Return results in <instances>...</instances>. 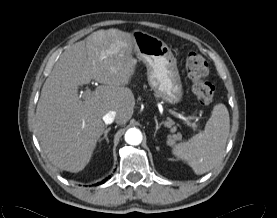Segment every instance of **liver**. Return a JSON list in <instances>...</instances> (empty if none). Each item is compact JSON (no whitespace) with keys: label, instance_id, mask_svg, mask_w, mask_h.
I'll use <instances>...</instances> for the list:
<instances>
[{"label":"liver","instance_id":"1","mask_svg":"<svg viewBox=\"0 0 277 218\" xmlns=\"http://www.w3.org/2000/svg\"><path fill=\"white\" fill-rule=\"evenodd\" d=\"M133 35L98 30L67 48L46 79L36 109V136L48 160L61 170L79 172L89 163L104 133L102 119L115 111L117 124L133 115L135 99L125 87L135 73ZM99 85L82 99L78 86Z\"/></svg>","mask_w":277,"mask_h":218}]
</instances>
